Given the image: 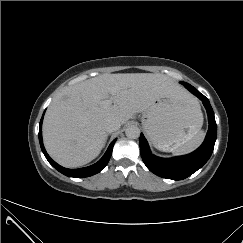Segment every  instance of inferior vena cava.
I'll list each match as a JSON object with an SVG mask.
<instances>
[{
	"label": "inferior vena cava",
	"instance_id": "inferior-vena-cava-1",
	"mask_svg": "<svg viewBox=\"0 0 243 243\" xmlns=\"http://www.w3.org/2000/svg\"><path fill=\"white\" fill-rule=\"evenodd\" d=\"M121 124L116 119H108L105 122V130L107 132H114L117 131L120 128Z\"/></svg>",
	"mask_w": 243,
	"mask_h": 243
}]
</instances>
